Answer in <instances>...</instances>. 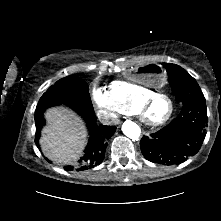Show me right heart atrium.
<instances>
[{
  "label": "right heart atrium",
  "instance_id": "obj_1",
  "mask_svg": "<svg viewBox=\"0 0 221 221\" xmlns=\"http://www.w3.org/2000/svg\"><path fill=\"white\" fill-rule=\"evenodd\" d=\"M92 98L102 117L114 121L125 113L124 109L114 100L110 92L102 87L93 86Z\"/></svg>",
  "mask_w": 221,
  "mask_h": 221
}]
</instances>
